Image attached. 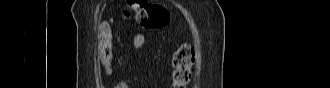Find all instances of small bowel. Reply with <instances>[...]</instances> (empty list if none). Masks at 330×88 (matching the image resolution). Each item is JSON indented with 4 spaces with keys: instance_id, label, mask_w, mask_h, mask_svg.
Here are the masks:
<instances>
[{
    "instance_id": "1",
    "label": "small bowel",
    "mask_w": 330,
    "mask_h": 88,
    "mask_svg": "<svg viewBox=\"0 0 330 88\" xmlns=\"http://www.w3.org/2000/svg\"><path fill=\"white\" fill-rule=\"evenodd\" d=\"M107 28H108V25H105L104 31H107ZM145 43H146V36L142 33L137 34L133 39V44L137 51H141V49L143 48ZM117 88H127V84L125 82H120L117 85Z\"/></svg>"
}]
</instances>
